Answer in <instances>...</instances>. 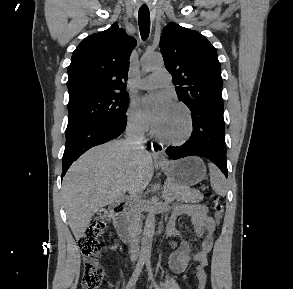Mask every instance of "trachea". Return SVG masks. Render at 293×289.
<instances>
[{"mask_svg": "<svg viewBox=\"0 0 293 289\" xmlns=\"http://www.w3.org/2000/svg\"><path fill=\"white\" fill-rule=\"evenodd\" d=\"M138 22L141 37L147 39L150 32V13L148 8H140L138 12Z\"/></svg>", "mask_w": 293, "mask_h": 289, "instance_id": "3493384b", "label": "trachea"}]
</instances>
